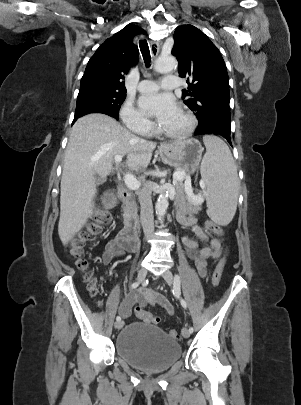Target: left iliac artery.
<instances>
[{
    "instance_id": "44dca946",
    "label": "left iliac artery",
    "mask_w": 301,
    "mask_h": 405,
    "mask_svg": "<svg viewBox=\"0 0 301 405\" xmlns=\"http://www.w3.org/2000/svg\"><path fill=\"white\" fill-rule=\"evenodd\" d=\"M180 284H181L180 277H179V275L176 274L175 277H174V289H173V294H174L175 296H177L178 298H180V303H181L182 307L186 308V307H187V304H186L185 300L181 298ZM189 332H190V333L193 332V327H190V328H189Z\"/></svg>"
}]
</instances>
